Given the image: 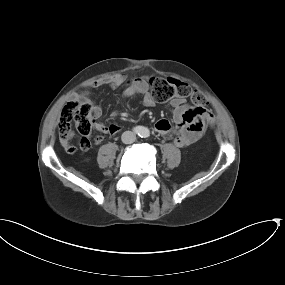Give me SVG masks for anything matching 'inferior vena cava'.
<instances>
[{"instance_id": "1", "label": "inferior vena cava", "mask_w": 285, "mask_h": 285, "mask_svg": "<svg viewBox=\"0 0 285 285\" xmlns=\"http://www.w3.org/2000/svg\"><path fill=\"white\" fill-rule=\"evenodd\" d=\"M122 142L131 144L136 140V134L132 131H125L121 136Z\"/></svg>"}]
</instances>
